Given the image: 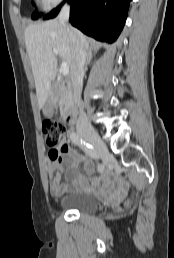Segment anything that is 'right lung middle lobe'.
<instances>
[{"label":"right lung middle lobe","instance_id":"dd1d6c3e","mask_svg":"<svg viewBox=\"0 0 174 258\" xmlns=\"http://www.w3.org/2000/svg\"><path fill=\"white\" fill-rule=\"evenodd\" d=\"M39 16H40V14L34 12V13L32 14V19H38Z\"/></svg>","mask_w":174,"mask_h":258}]
</instances>
